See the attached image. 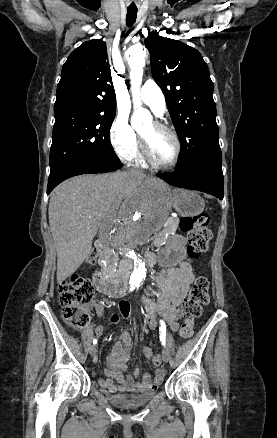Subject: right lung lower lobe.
<instances>
[{
  "mask_svg": "<svg viewBox=\"0 0 277 438\" xmlns=\"http://www.w3.org/2000/svg\"><path fill=\"white\" fill-rule=\"evenodd\" d=\"M122 167L119 160H92L70 164L62 168L48 179L47 194L67 178L89 173H106Z\"/></svg>",
  "mask_w": 277,
  "mask_h": 438,
  "instance_id": "1",
  "label": "right lung lower lobe"
}]
</instances>
